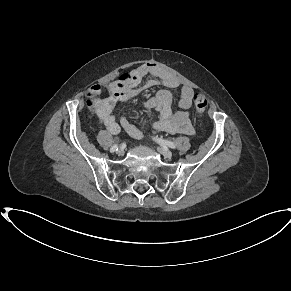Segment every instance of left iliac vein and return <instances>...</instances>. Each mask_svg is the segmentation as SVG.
<instances>
[{
  "instance_id": "left-iliac-vein-1",
  "label": "left iliac vein",
  "mask_w": 291,
  "mask_h": 291,
  "mask_svg": "<svg viewBox=\"0 0 291 291\" xmlns=\"http://www.w3.org/2000/svg\"><path fill=\"white\" fill-rule=\"evenodd\" d=\"M157 150L159 153H161L166 158L172 157V152L165 147H158Z\"/></svg>"
}]
</instances>
